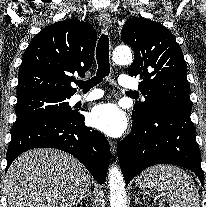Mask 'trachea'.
<instances>
[{
	"mask_svg": "<svg viewBox=\"0 0 206 207\" xmlns=\"http://www.w3.org/2000/svg\"><path fill=\"white\" fill-rule=\"evenodd\" d=\"M96 59L98 69L96 76L92 77L88 81H77L78 87L82 88L83 91H88L92 87L99 84L105 77L110 74V63H109V38L108 35L102 34L96 48ZM129 94L135 95L134 92L129 91Z\"/></svg>",
	"mask_w": 206,
	"mask_h": 207,
	"instance_id": "trachea-1",
	"label": "trachea"
}]
</instances>
